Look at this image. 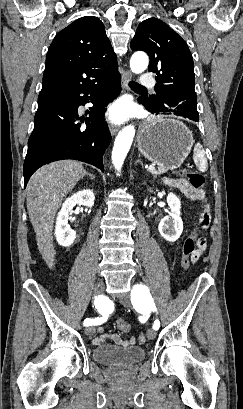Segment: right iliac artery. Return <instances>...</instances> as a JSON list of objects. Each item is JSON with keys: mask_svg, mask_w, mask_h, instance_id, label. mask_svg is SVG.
Returning <instances> with one entry per match:
<instances>
[{"mask_svg": "<svg viewBox=\"0 0 243 409\" xmlns=\"http://www.w3.org/2000/svg\"><path fill=\"white\" fill-rule=\"evenodd\" d=\"M94 304H95L96 308L98 310H100L101 300H100L99 297L95 298ZM101 313L103 314L102 309H101ZM103 322H104V320L101 317H98V318H95V319L87 318V319L84 320L83 324H84V326H90V325H99V324H102Z\"/></svg>", "mask_w": 243, "mask_h": 409, "instance_id": "1", "label": "right iliac artery"}]
</instances>
